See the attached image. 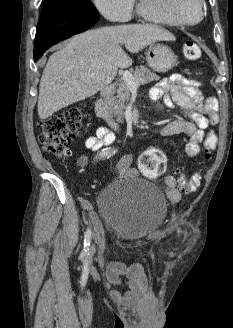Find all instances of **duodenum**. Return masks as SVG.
I'll list each match as a JSON object with an SVG mask.
<instances>
[{"label": "duodenum", "mask_w": 233, "mask_h": 328, "mask_svg": "<svg viewBox=\"0 0 233 328\" xmlns=\"http://www.w3.org/2000/svg\"><path fill=\"white\" fill-rule=\"evenodd\" d=\"M114 90L115 87L113 85L106 86L101 90L99 97L95 103V113L98 118L103 120H110L106 104L108 99L114 93Z\"/></svg>", "instance_id": "duodenum-1"}]
</instances>
